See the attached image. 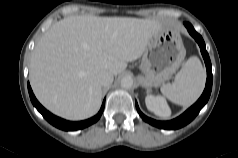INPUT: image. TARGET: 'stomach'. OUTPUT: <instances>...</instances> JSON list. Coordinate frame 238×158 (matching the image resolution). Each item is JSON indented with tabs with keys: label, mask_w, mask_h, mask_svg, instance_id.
I'll return each instance as SVG.
<instances>
[{
	"label": "stomach",
	"mask_w": 238,
	"mask_h": 158,
	"mask_svg": "<svg viewBox=\"0 0 238 158\" xmlns=\"http://www.w3.org/2000/svg\"><path fill=\"white\" fill-rule=\"evenodd\" d=\"M186 55L179 32L161 26L148 44L140 65V83L146 88L157 87L167 81L181 66Z\"/></svg>",
	"instance_id": "obj_1"
}]
</instances>
